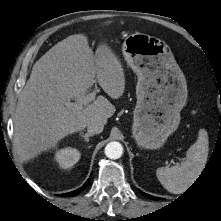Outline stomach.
Here are the masks:
<instances>
[{
	"instance_id": "1",
	"label": "stomach",
	"mask_w": 221,
	"mask_h": 221,
	"mask_svg": "<svg viewBox=\"0 0 221 221\" xmlns=\"http://www.w3.org/2000/svg\"><path fill=\"white\" fill-rule=\"evenodd\" d=\"M122 52L138 77L133 138L141 148L159 149L179 126L188 94L185 76L159 38L136 32L125 38Z\"/></svg>"
}]
</instances>
